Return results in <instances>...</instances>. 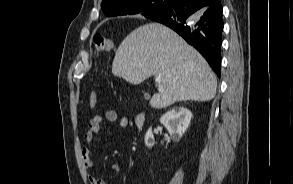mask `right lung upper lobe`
Listing matches in <instances>:
<instances>
[{
  "instance_id": "cb5924a9",
  "label": "right lung upper lobe",
  "mask_w": 293,
  "mask_h": 184,
  "mask_svg": "<svg viewBox=\"0 0 293 184\" xmlns=\"http://www.w3.org/2000/svg\"><path fill=\"white\" fill-rule=\"evenodd\" d=\"M173 1L174 0H103L101 8L103 13L108 17L128 14H141L148 18V16L145 15V11L150 10L155 4L164 2V8L161 10L163 11ZM201 1H203L205 7H208L215 2H218L219 0Z\"/></svg>"
}]
</instances>
